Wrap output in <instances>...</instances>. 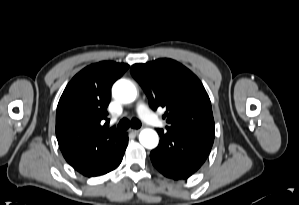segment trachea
<instances>
[{
	"label": "trachea",
	"mask_w": 299,
	"mask_h": 205,
	"mask_svg": "<svg viewBox=\"0 0 299 205\" xmlns=\"http://www.w3.org/2000/svg\"><path fill=\"white\" fill-rule=\"evenodd\" d=\"M129 127L138 129L141 127V122L136 118H133L131 121H129L126 118H123L122 120H120L117 129L118 131H124L127 130Z\"/></svg>",
	"instance_id": "1"
}]
</instances>
